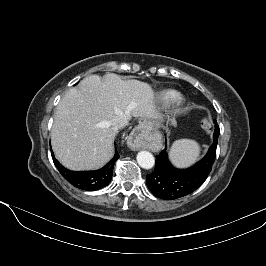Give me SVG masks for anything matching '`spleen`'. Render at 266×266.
Instances as JSON below:
<instances>
[{
    "label": "spleen",
    "mask_w": 266,
    "mask_h": 266,
    "mask_svg": "<svg viewBox=\"0 0 266 266\" xmlns=\"http://www.w3.org/2000/svg\"><path fill=\"white\" fill-rule=\"evenodd\" d=\"M200 151V146L196 141L180 139L173 143L170 149V156L178 167H187L199 158Z\"/></svg>",
    "instance_id": "3e777b00"
}]
</instances>
